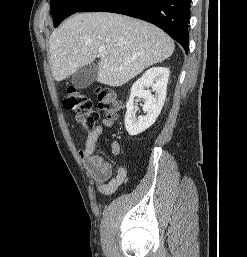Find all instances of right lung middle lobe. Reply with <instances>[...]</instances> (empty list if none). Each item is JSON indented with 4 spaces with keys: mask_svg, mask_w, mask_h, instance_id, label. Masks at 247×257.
<instances>
[{
    "mask_svg": "<svg viewBox=\"0 0 247 257\" xmlns=\"http://www.w3.org/2000/svg\"><path fill=\"white\" fill-rule=\"evenodd\" d=\"M91 0H51L50 8L54 20V27L68 16L78 12Z\"/></svg>",
    "mask_w": 247,
    "mask_h": 257,
    "instance_id": "right-lung-middle-lobe-1",
    "label": "right lung middle lobe"
}]
</instances>
